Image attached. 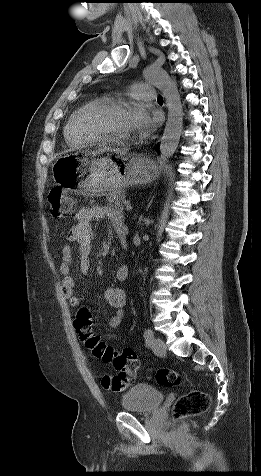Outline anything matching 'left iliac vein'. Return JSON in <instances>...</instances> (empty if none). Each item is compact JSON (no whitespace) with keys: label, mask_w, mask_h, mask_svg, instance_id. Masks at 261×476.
<instances>
[{"label":"left iliac vein","mask_w":261,"mask_h":476,"mask_svg":"<svg viewBox=\"0 0 261 476\" xmlns=\"http://www.w3.org/2000/svg\"><path fill=\"white\" fill-rule=\"evenodd\" d=\"M151 348L156 355H164L166 353V345L160 338H154L152 340Z\"/></svg>","instance_id":"left-iliac-vein-1"}]
</instances>
